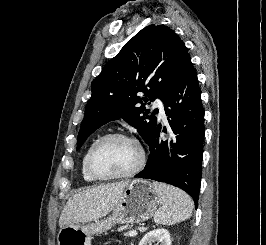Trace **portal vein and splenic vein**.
Wrapping results in <instances>:
<instances>
[{
	"mask_svg": "<svg viewBox=\"0 0 266 245\" xmlns=\"http://www.w3.org/2000/svg\"><path fill=\"white\" fill-rule=\"evenodd\" d=\"M127 235H129V237H136V235H138L137 231H128Z\"/></svg>",
	"mask_w": 266,
	"mask_h": 245,
	"instance_id": "portal-vein-and-splenic-vein-1",
	"label": "portal vein and splenic vein"
}]
</instances>
